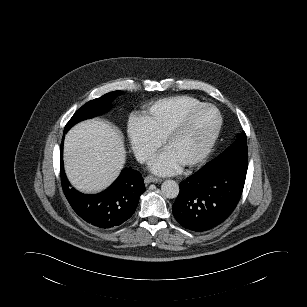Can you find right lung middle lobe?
<instances>
[{
  "label": "right lung middle lobe",
  "instance_id": "obj_1",
  "mask_svg": "<svg viewBox=\"0 0 307 307\" xmlns=\"http://www.w3.org/2000/svg\"><path fill=\"white\" fill-rule=\"evenodd\" d=\"M120 94H122V91H114L107 93L100 98L87 102L78 111H76V113L69 120L65 126L64 133H66L77 122L102 114L109 110L111 102Z\"/></svg>",
  "mask_w": 307,
  "mask_h": 307
}]
</instances>
